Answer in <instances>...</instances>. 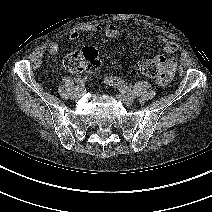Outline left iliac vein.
<instances>
[{"mask_svg":"<svg viewBox=\"0 0 212 212\" xmlns=\"http://www.w3.org/2000/svg\"><path fill=\"white\" fill-rule=\"evenodd\" d=\"M117 98L124 102L127 106H131L134 102V97L122 93L117 94Z\"/></svg>","mask_w":212,"mask_h":212,"instance_id":"obj_1","label":"left iliac vein"}]
</instances>
